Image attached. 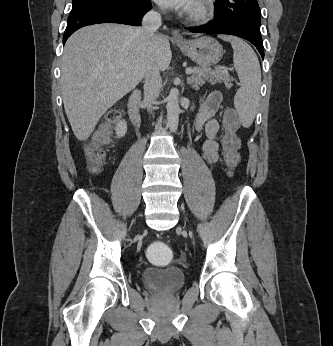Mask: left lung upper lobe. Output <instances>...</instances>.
I'll list each match as a JSON object with an SVG mask.
<instances>
[{
    "mask_svg": "<svg viewBox=\"0 0 333 346\" xmlns=\"http://www.w3.org/2000/svg\"><path fill=\"white\" fill-rule=\"evenodd\" d=\"M215 20H235L260 30L261 12L257 0H216Z\"/></svg>",
    "mask_w": 333,
    "mask_h": 346,
    "instance_id": "left-lung-upper-lobe-1",
    "label": "left lung upper lobe"
}]
</instances>
